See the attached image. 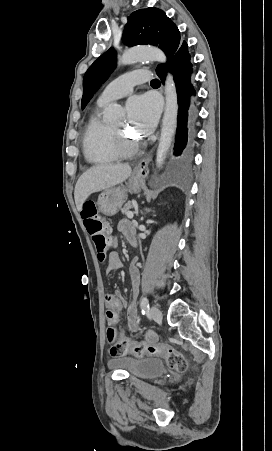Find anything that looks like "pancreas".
I'll use <instances>...</instances> for the list:
<instances>
[{"label": "pancreas", "mask_w": 272, "mask_h": 451, "mask_svg": "<svg viewBox=\"0 0 272 451\" xmlns=\"http://www.w3.org/2000/svg\"><path fill=\"white\" fill-rule=\"evenodd\" d=\"M130 208H133L131 202H127V204H125V206H123V208L121 210V214H125V216H127Z\"/></svg>", "instance_id": "pancreas-1"}]
</instances>
